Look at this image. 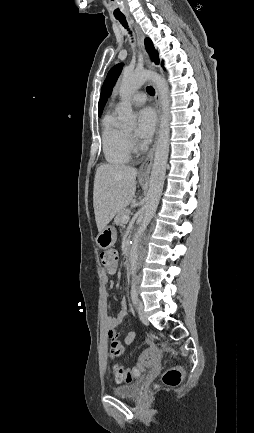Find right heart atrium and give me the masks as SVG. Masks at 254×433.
<instances>
[{
	"label": "right heart atrium",
	"mask_w": 254,
	"mask_h": 433,
	"mask_svg": "<svg viewBox=\"0 0 254 433\" xmlns=\"http://www.w3.org/2000/svg\"><path fill=\"white\" fill-rule=\"evenodd\" d=\"M128 141H129V143H130V146H132V147H135L136 146V141H135V139L133 138V136L132 135H128Z\"/></svg>",
	"instance_id": "d8ad5b80"
}]
</instances>
